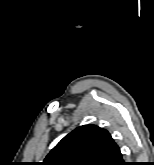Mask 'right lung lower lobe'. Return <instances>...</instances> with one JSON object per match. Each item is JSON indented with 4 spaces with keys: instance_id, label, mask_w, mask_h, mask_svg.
<instances>
[{
    "instance_id": "obj_1",
    "label": "right lung lower lobe",
    "mask_w": 154,
    "mask_h": 165,
    "mask_svg": "<svg viewBox=\"0 0 154 165\" xmlns=\"http://www.w3.org/2000/svg\"><path fill=\"white\" fill-rule=\"evenodd\" d=\"M112 165H125V162L122 159L121 153L118 154V156L115 158V161L112 163Z\"/></svg>"
}]
</instances>
